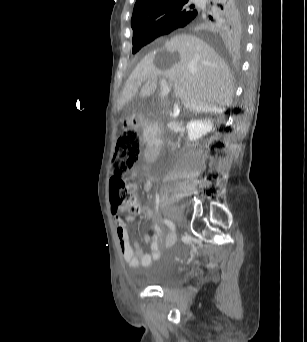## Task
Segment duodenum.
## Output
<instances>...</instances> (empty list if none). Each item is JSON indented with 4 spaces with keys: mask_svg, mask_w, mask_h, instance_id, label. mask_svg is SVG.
I'll list each match as a JSON object with an SVG mask.
<instances>
[{
    "mask_svg": "<svg viewBox=\"0 0 307 342\" xmlns=\"http://www.w3.org/2000/svg\"><path fill=\"white\" fill-rule=\"evenodd\" d=\"M156 122V119L154 117H126L125 118V127L131 128L132 125L137 129H142L145 127L152 128L154 123ZM163 142L161 137L158 135V133L155 131L150 135L149 143L147 144L145 150H144V157L145 160L150 161L153 158H155L162 146Z\"/></svg>",
    "mask_w": 307,
    "mask_h": 342,
    "instance_id": "410a0bca",
    "label": "duodenum"
}]
</instances>
